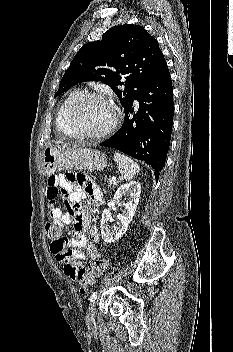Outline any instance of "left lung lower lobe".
I'll use <instances>...</instances> for the list:
<instances>
[{"mask_svg":"<svg viewBox=\"0 0 233 352\" xmlns=\"http://www.w3.org/2000/svg\"><path fill=\"white\" fill-rule=\"evenodd\" d=\"M124 112L122 127L100 145L146 162L155 170L158 181L170 144L174 113L172 81L167 65L143 86Z\"/></svg>","mask_w":233,"mask_h":352,"instance_id":"1","label":"left lung lower lobe"}]
</instances>
